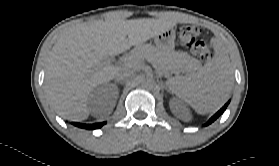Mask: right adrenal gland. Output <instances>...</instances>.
<instances>
[{
    "instance_id": "obj_1",
    "label": "right adrenal gland",
    "mask_w": 279,
    "mask_h": 166,
    "mask_svg": "<svg viewBox=\"0 0 279 166\" xmlns=\"http://www.w3.org/2000/svg\"><path fill=\"white\" fill-rule=\"evenodd\" d=\"M119 84H123V82H119Z\"/></svg>"
}]
</instances>
